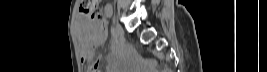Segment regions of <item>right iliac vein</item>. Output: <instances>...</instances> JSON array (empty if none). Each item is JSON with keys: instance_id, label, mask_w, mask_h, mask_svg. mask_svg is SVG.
I'll return each instance as SVG.
<instances>
[{"instance_id": "right-iliac-vein-1", "label": "right iliac vein", "mask_w": 267, "mask_h": 72, "mask_svg": "<svg viewBox=\"0 0 267 72\" xmlns=\"http://www.w3.org/2000/svg\"><path fill=\"white\" fill-rule=\"evenodd\" d=\"M114 30H115V32H116V34H117L118 36H122V35H123V29H122V27L120 26V24L116 23V24L114 25Z\"/></svg>"}]
</instances>
